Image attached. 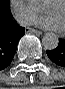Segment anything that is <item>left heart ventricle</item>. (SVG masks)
Returning a JSON list of instances; mask_svg holds the SVG:
<instances>
[{
	"instance_id": "1",
	"label": "left heart ventricle",
	"mask_w": 65,
	"mask_h": 89,
	"mask_svg": "<svg viewBox=\"0 0 65 89\" xmlns=\"http://www.w3.org/2000/svg\"><path fill=\"white\" fill-rule=\"evenodd\" d=\"M45 10L50 16L58 18L65 28V7L63 4L49 3L45 6Z\"/></svg>"
}]
</instances>
